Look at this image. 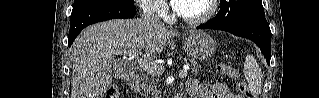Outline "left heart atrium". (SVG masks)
<instances>
[{"label":"left heart atrium","mask_w":319,"mask_h":98,"mask_svg":"<svg viewBox=\"0 0 319 98\" xmlns=\"http://www.w3.org/2000/svg\"><path fill=\"white\" fill-rule=\"evenodd\" d=\"M184 2H185V0H172V1H171L172 6H173L174 8H176L177 10H179V9L182 7V5H183Z\"/></svg>","instance_id":"1"}]
</instances>
